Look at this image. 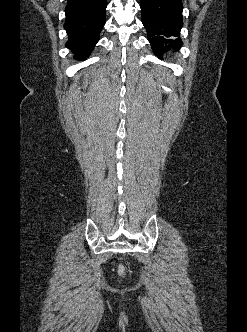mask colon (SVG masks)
<instances>
[{
    "label": "colon",
    "instance_id": "1",
    "mask_svg": "<svg viewBox=\"0 0 247 332\" xmlns=\"http://www.w3.org/2000/svg\"><path fill=\"white\" fill-rule=\"evenodd\" d=\"M124 272H125L124 267L120 266L119 267V273H120V275H124Z\"/></svg>",
    "mask_w": 247,
    "mask_h": 332
}]
</instances>
